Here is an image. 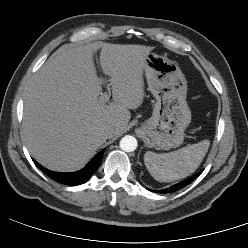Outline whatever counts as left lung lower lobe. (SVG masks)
Here are the masks:
<instances>
[{"mask_svg": "<svg viewBox=\"0 0 248 248\" xmlns=\"http://www.w3.org/2000/svg\"><path fill=\"white\" fill-rule=\"evenodd\" d=\"M201 173H202V171L198 172L197 174L191 176L190 178H188V179H186L180 183H177V184H175L169 188L159 190V191H154V190H152V191L157 192V193H172V192L178 191V190L182 189L183 187L187 186L188 184H190L191 182H193Z\"/></svg>", "mask_w": 248, "mask_h": 248, "instance_id": "0a47b994", "label": "left lung lower lobe"}]
</instances>
